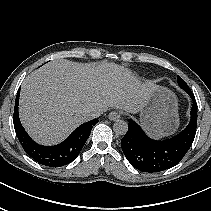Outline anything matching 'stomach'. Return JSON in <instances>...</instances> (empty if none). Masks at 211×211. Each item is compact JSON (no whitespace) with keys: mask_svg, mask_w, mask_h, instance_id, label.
I'll return each instance as SVG.
<instances>
[{"mask_svg":"<svg viewBox=\"0 0 211 211\" xmlns=\"http://www.w3.org/2000/svg\"><path fill=\"white\" fill-rule=\"evenodd\" d=\"M140 122L154 138L173 134L179 125L176 96L168 88L155 85L141 110Z\"/></svg>","mask_w":211,"mask_h":211,"instance_id":"obj_1","label":"stomach"}]
</instances>
